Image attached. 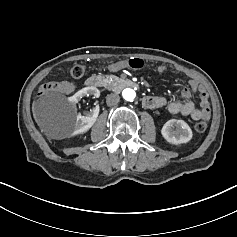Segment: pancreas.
Masks as SVG:
<instances>
[{
	"mask_svg": "<svg viewBox=\"0 0 237 237\" xmlns=\"http://www.w3.org/2000/svg\"><path fill=\"white\" fill-rule=\"evenodd\" d=\"M103 82L104 87L109 90H114L121 82V79L115 75H106Z\"/></svg>",
	"mask_w": 237,
	"mask_h": 237,
	"instance_id": "obj_1",
	"label": "pancreas"
}]
</instances>
